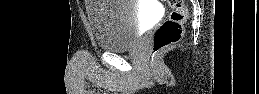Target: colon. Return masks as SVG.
Here are the masks:
<instances>
[{
    "label": "colon",
    "mask_w": 259,
    "mask_h": 94,
    "mask_svg": "<svg viewBox=\"0 0 259 94\" xmlns=\"http://www.w3.org/2000/svg\"><path fill=\"white\" fill-rule=\"evenodd\" d=\"M167 3L170 8L169 16L153 35L152 64L158 53L181 39L184 32L183 27L188 18V10L183 0H167Z\"/></svg>",
    "instance_id": "5ec220e1"
}]
</instances>
